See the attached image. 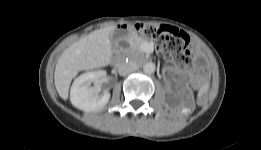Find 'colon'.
Returning a JSON list of instances; mask_svg holds the SVG:
<instances>
[{
	"label": "colon",
	"instance_id": "5ec220e1",
	"mask_svg": "<svg viewBox=\"0 0 261 150\" xmlns=\"http://www.w3.org/2000/svg\"><path fill=\"white\" fill-rule=\"evenodd\" d=\"M134 30L143 37L153 39L176 68L187 69L191 65L192 59L187 49L189 37L185 32L167 25L148 23L136 24Z\"/></svg>",
	"mask_w": 261,
	"mask_h": 150
}]
</instances>
